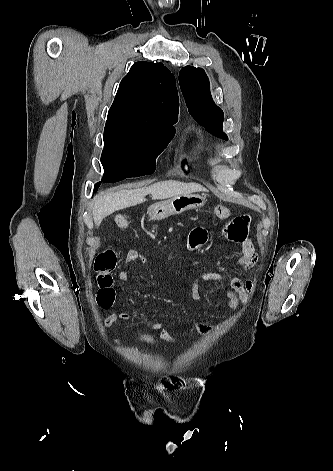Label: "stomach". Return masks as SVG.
Listing matches in <instances>:
<instances>
[{"mask_svg": "<svg viewBox=\"0 0 333 471\" xmlns=\"http://www.w3.org/2000/svg\"><path fill=\"white\" fill-rule=\"evenodd\" d=\"M205 202V197L198 194L178 195L151 205L147 213L151 220H162L190 209L201 208Z\"/></svg>", "mask_w": 333, "mask_h": 471, "instance_id": "obj_1", "label": "stomach"}]
</instances>
